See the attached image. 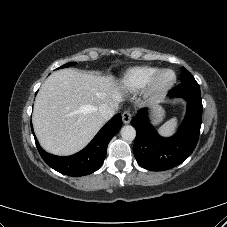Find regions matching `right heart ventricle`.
Instances as JSON below:
<instances>
[{
  "mask_svg": "<svg viewBox=\"0 0 227 227\" xmlns=\"http://www.w3.org/2000/svg\"><path fill=\"white\" fill-rule=\"evenodd\" d=\"M160 69L151 66H137L128 69L120 80L121 86L129 91H137L149 84Z\"/></svg>",
  "mask_w": 227,
  "mask_h": 227,
  "instance_id": "1",
  "label": "right heart ventricle"
}]
</instances>
